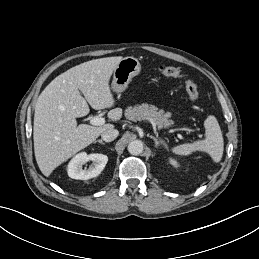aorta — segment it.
Returning a JSON list of instances; mask_svg holds the SVG:
<instances>
[{
	"label": "aorta",
	"instance_id": "762f6f07",
	"mask_svg": "<svg viewBox=\"0 0 259 259\" xmlns=\"http://www.w3.org/2000/svg\"><path fill=\"white\" fill-rule=\"evenodd\" d=\"M143 142L141 140H134L128 144V151L132 155H139L143 152Z\"/></svg>",
	"mask_w": 259,
	"mask_h": 259
}]
</instances>
